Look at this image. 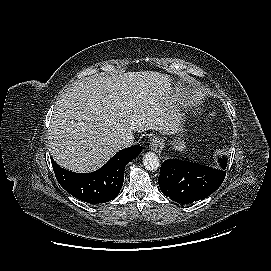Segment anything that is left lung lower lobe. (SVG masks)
<instances>
[{
  "instance_id": "1",
  "label": "left lung lower lobe",
  "mask_w": 271,
  "mask_h": 271,
  "mask_svg": "<svg viewBox=\"0 0 271 271\" xmlns=\"http://www.w3.org/2000/svg\"><path fill=\"white\" fill-rule=\"evenodd\" d=\"M219 161L218 169L177 159L164 161L158 178L162 193L181 204L206 198L225 178L226 160Z\"/></svg>"
}]
</instances>
